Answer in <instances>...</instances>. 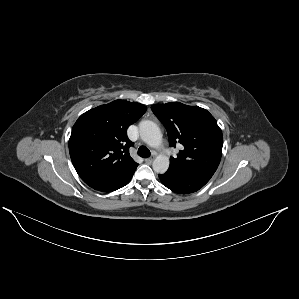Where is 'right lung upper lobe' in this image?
Returning <instances> with one entry per match:
<instances>
[{
    "mask_svg": "<svg viewBox=\"0 0 299 299\" xmlns=\"http://www.w3.org/2000/svg\"><path fill=\"white\" fill-rule=\"evenodd\" d=\"M146 109L139 103L115 100L78 118L69 139V152L75 170L86 184L123 177L136 170L138 164L128 153L133 143L126 130Z\"/></svg>",
    "mask_w": 299,
    "mask_h": 299,
    "instance_id": "1",
    "label": "right lung upper lobe"
}]
</instances>
